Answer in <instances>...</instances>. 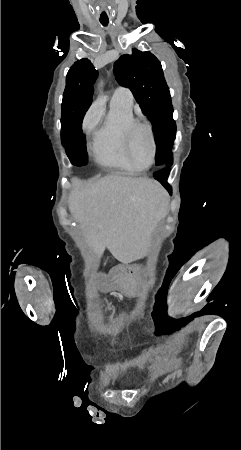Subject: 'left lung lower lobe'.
I'll return each mask as SVG.
<instances>
[{"label": "left lung lower lobe", "instance_id": "obj_1", "mask_svg": "<svg viewBox=\"0 0 241 450\" xmlns=\"http://www.w3.org/2000/svg\"><path fill=\"white\" fill-rule=\"evenodd\" d=\"M172 161L167 165L171 166ZM169 173L167 171H159L155 173V178L169 191L171 192V186L167 183Z\"/></svg>", "mask_w": 241, "mask_h": 450}]
</instances>
